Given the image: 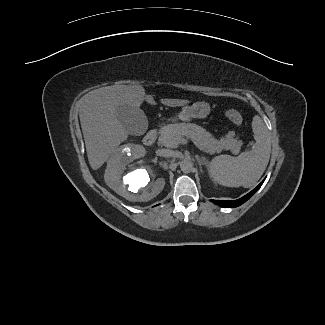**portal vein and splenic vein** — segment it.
Wrapping results in <instances>:
<instances>
[{"label":"portal vein and splenic vein","mask_w":325,"mask_h":325,"mask_svg":"<svg viewBox=\"0 0 325 325\" xmlns=\"http://www.w3.org/2000/svg\"><path fill=\"white\" fill-rule=\"evenodd\" d=\"M186 143H187V140L184 139V138H179V139L177 140V144H186Z\"/></svg>","instance_id":"1"}]
</instances>
